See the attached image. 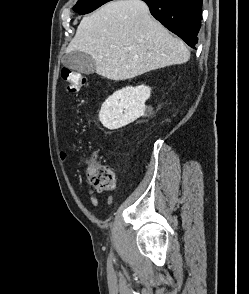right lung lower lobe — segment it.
<instances>
[{
    "label": "right lung lower lobe",
    "mask_w": 249,
    "mask_h": 294,
    "mask_svg": "<svg viewBox=\"0 0 249 294\" xmlns=\"http://www.w3.org/2000/svg\"><path fill=\"white\" fill-rule=\"evenodd\" d=\"M166 28L195 48L201 27L202 0H143Z\"/></svg>",
    "instance_id": "obj_1"
}]
</instances>
